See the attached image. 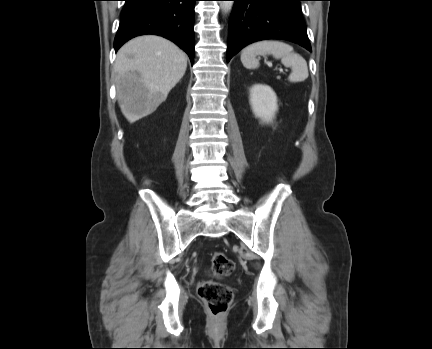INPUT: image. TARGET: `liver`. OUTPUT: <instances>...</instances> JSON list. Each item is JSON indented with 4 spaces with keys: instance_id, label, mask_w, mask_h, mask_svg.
<instances>
[{
    "instance_id": "6515ba94",
    "label": "liver",
    "mask_w": 432,
    "mask_h": 349,
    "mask_svg": "<svg viewBox=\"0 0 432 349\" xmlns=\"http://www.w3.org/2000/svg\"><path fill=\"white\" fill-rule=\"evenodd\" d=\"M187 57L174 43L145 35L125 43L117 52V98L130 122L152 114L184 76Z\"/></svg>"
}]
</instances>
